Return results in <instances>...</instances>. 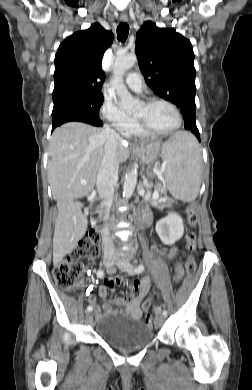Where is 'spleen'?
Here are the masks:
<instances>
[{
  "label": "spleen",
  "mask_w": 252,
  "mask_h": 390,
  "mask_svg": "<svg viewBox=\"0 0 252 390\" xmlns=\"http://www.w3.org/2000/svg\"><path fill=\"white\" fill-rule=\"evenodd\" d=\"M165 164L164 185L171 195L183 202L196 199L201 184L202 157L195 138L178 132L162 149Z\"/></svg>",
  "instance_id": "obj_1"
}]
</instances>
